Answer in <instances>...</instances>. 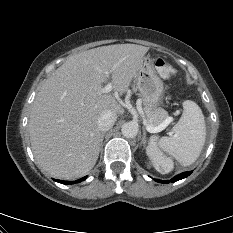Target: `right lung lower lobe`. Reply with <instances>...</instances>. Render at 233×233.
<instances>
[{
	"mask_svg": "<svg viewBox=\"0 0 233 233\" xmlns=\"http://www.w3.org/2000/svg\"><path fill=\"white\" fill-rule=\"evenodd\" d=\"M85 179L86 178L84 177L82 179H79L78 181H62V180H56V181L59 182V183H62V184H74L75 182L79 183V182H81V181H83Z\"/></svg>",
	"mask_w": 233,
	"mask_h": 233,
	"instance_id": "1",
	"label": "right lung lower lobe"
}]
</instances>
